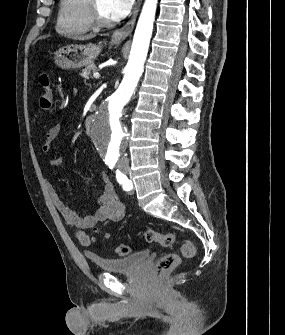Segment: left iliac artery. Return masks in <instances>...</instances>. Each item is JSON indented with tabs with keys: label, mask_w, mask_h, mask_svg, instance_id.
Segmentation results:
<instances>
[{
	"label": "left iliac artery",
	"mask_w": 285,
	"mask_h": 335,
	"mask_svg": "<svg viewBox=\"0 0 285 335\" xmlns=\"http://www.w3.org/2000/svg\"><path fill=\"white\" fill-rule=\"evenodd\" d=\"M116 178H117V181L120 184H122L123 190L129 191L133 188L132 182L127 178L125 174H123L119 170L116 171Z\"/></svg>",
	"instance_id": "left-iliac-artery-1"
}]
</instances>
